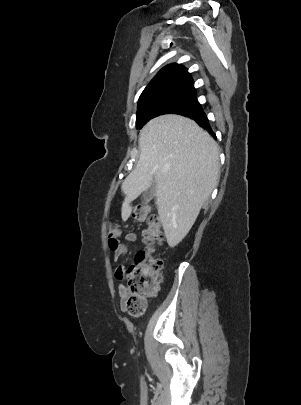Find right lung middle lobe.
Returning a JSON list of instances; mask_svg holds the SVG:
<instances>
[{
	"label": "right lung middle lobe",
	"mask_w": 301,
	"mask_h": 405,
	"mask_svg": "<svg viewBox=\"0 0 301 405\" xmlns=\"http://www.w3.org/2000/svg\"><path fill=\"white\" fill-rule=\"evenodd\" d=\"M202 109L197 101L196 91L175 89L152 95L138 102L136 127L141 129L150 119L162 114H181Z\"/></svg>",
	"instance_id": "right-lung-middle-lobe-1"
}]
</instances>
